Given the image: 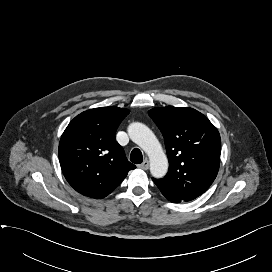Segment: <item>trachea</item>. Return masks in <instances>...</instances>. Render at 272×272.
<instances>
[{"instance_id": "3493384b", "label": "trachea", "mask_w": 272, "mask_h": 272, "mask_svg": "<svg viewBox=\"0 0 272 272\" xmlns=\"http://www.w3.org/2000/svg\"><path fill=\"white\" fill-rule=\"evenodd\" d=\"M130 161L135 164H140L143 161L142 152L138 148H134L130 154Z\"/></svg>"}]
</instances>
